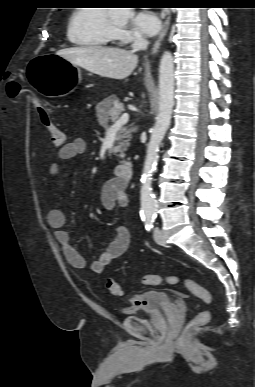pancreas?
<instances>
[{
	"label": "pancreas",
	"mask_w": 255,
	"mask_h": 387,
	"mask_svg": "<svg viewBox=\"0 0 255 387\" xmlns=\"http://www.w3.org/2000/svg\"><path fill=\"white\" fill-rule=\"evenodd\" d=\"M99 118L106 127L108 121L116 122L124 111V104L119 102L116 96L112 95L104 99L98 105ZM131 129H121L117 134V143L113 149L114 153H119L120 158L125 157V151L131 140Z\"/></svg>",
	"instance_id": "1"
}]
</instances>
